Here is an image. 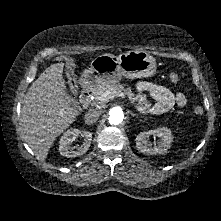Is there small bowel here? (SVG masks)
I'll return each mask as SVG.
<instances>
[{
	"mask_svg": "<svg viewBox=\"0 0 221 221\" xmlns=\"http://www.w3.org/2000/svg\"><path fill=\"white\" fill-rule=\"evenodd\" d=\"M138 92H148L155 100L150 107L153 113H164L173 106L183 108L187 105V98L182 92H172L168 88L155 83L140 81L136 84Z\"/></svg>",
	"mask_w": 221,
	"mask_h": 221,
	"instance_id": "c3829d8e",
	"label": "small bowel"
}]
</instances>
